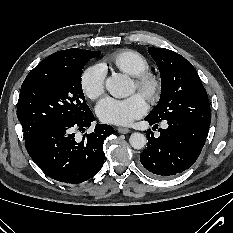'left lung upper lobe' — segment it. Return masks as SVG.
I'll return each instance as SVG.
<instances>
[{"mask_svg":"<svg viewBox=\"0 0 233 233\" xmlns=\"http://www.w3.org/2000/svg\"><path fill=\"white\" fill-rule=\"evenodd\" d=\"M148 49L160 71L161 96L158 105L146 117L156 122L188 118L210 125L211 110L207 92L193 65L171 50Z\"/></svg>","mask_w":233,"mask_h":233,"instance_id":"left-lung-upper-lobe-1","label":"left lung upper lobe"}]
</instances>
